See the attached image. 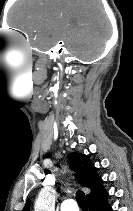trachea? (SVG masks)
I'll list each match as a JSON object with an SVG mask.
<instances>
[{
  "instance_id": "obj_1",
  "label": "trachea",
  "mask_w": 133,
  "mask_h": 211,
  "mask_svg": "<svg viewBox=\"0 0 133 211\" xmlns=\"http://www.w3.org/2000/svg\"><path fill=\"white\" fill-rule=\"evenodd\" d=\"M76 200L81 209H87L85 194L82 191L76 193Z\"/></svg>"
}]
</instances>
